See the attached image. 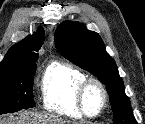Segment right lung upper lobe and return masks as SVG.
Segmentation results:
<instances>
[{"label":"right lung upper lobe","mask_w":145,"mask_h":124,"mask_svg":"<svg viewBox=\"0 0 145 124\" xmlns=\"http://www.w3.org/2000/svg\"><path fill=\"white\" fill-rule=\"evenodd\" d=\"M44 39V30L40 27L38 32L16 43L0 63V73L18 71L35 64Z\"/></svg>","instance_id":"obj_1"}]
</instances>
